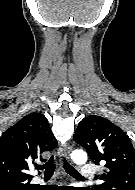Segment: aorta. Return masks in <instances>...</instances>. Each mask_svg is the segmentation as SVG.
Returning a JSON list of instances; mask_svg holds the SVG:
<instances>
[{"instance_id":"obj_1","label":"aorta","mask_w":135,"mask_h":190,"mask_svg":"<svg viewBox=\"0 0 135 190\" xmlns=\"http://www.w3.org/2000/svg\"><path fill=\"white\" fill-rule=\"evenodd\" d=\"M72 160L77 164H83L87 161V154L82 150H75L71 155Z\"/></svg>"}]
</instances>
